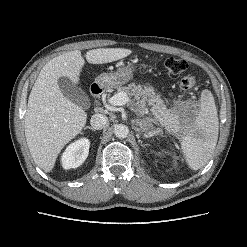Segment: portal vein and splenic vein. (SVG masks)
Returning a JSON list of instances; mask_svg holds the SVG:
<instances>
[{"mask_svg": "<svg viewBox=\"0 0 247 247\" xmlns=\"http://www.w3.org/2000/svg\"><path fill=\"white\" fill-rule=\"evenodd\" d=\"M129 101V98L127 96L126 93L124 92H119L117 94H115L114 96H112L108 102L109 104L111 105H114V106H122V105H125L127 102ZM143 110L148 113V110L143 108Z\"/></svg>", "mask_w": 247, "mask_h": 247, "instance_id": "portal-vein-and-splenic-vein-1", "label": "portal vein and splenic vein"}]
</instances>
